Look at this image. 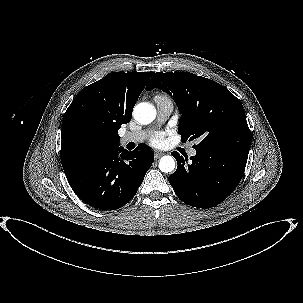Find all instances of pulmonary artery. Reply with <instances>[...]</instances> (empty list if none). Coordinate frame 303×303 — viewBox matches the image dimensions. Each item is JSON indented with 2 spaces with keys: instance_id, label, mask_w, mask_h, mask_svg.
<instances>
[{
  "instance_id": "1",
  "label": "pulmonary artery",
  "mask_w": 303,
  "mask_h": 303,
  "mask_svg": "<svg viewBox=\"0 0 303 303\" xmlns=\"http://www.w3.org/2000/svg\"><path fill=\"white\" fill-rule=\"evenodd\" d=\"M155 102L157 105L158 122L166 121L173 111V102L169 98L164 99L157 96L155 97ZM146 135V131L128 132L121 136L120 141L123 145H126L128 143H139L145 139ZM188 154L194 157L196 156L197 152L194 148H190Z\"/></svg>"
}]
</instances>
